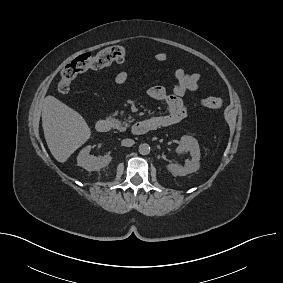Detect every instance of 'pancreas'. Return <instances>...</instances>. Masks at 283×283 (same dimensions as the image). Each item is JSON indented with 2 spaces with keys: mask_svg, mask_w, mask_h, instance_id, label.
Wrapping results in <instances>:
<instances>
[{
  "mask_svg": "<svg viewBox=\"0 0 283 283\" xmlns=\"http://www.w3.org/2000/svg\"><path fill=\"white\" fill-rule=\"evenodd\" d=\"M128 121L129 122H132V118L129 117L128 118ZM115 127L119 130V131H124L126 129V127H128V124L124 121V122H121L119 121L118 119L115 120Z\"/></svg>",
  "mask_w": 283,
  "mask_h": 283,
  "instance_id": "1",
  "label": "pancreas"
}]
</instances>
